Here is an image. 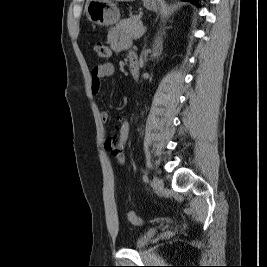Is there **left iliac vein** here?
Returning a JSON list of instances; mask_svg holds the SVG:
<instances>
[{"mask_svg": "<svg viewBox=\"0 0 267 267\" xmlns=\"http://www.w3.org/2000/svg\"><path fill=\"white\" fill-rule=\"evenodd\" d=\"M153 186L157 191H161L164 188V182L158 177L153 178Z\"/></svg>", "mask_w": 267, "mask_h": 267, "instance_id": "1", "label": "left iliac vein"}]
</instances>
